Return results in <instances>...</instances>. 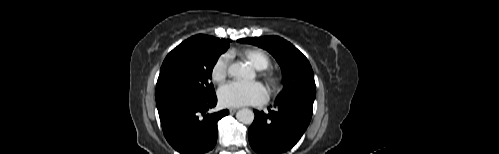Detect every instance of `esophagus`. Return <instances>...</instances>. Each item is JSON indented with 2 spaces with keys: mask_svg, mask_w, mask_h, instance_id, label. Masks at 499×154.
Returning <instances> with one entry per match:
<instances>
[{
  "mask_svg": "<svg viewBox=\"0 0 499 154\" xmlns=\"http://www.w3.org/2000/svg\"><path fill=\"white\" fill-rule=\"evenodd\" d=\"M237 111V108H229V112L231 114L235 113Z\"/></svg>",
  "mask_w": 499,
  "mask_h": 154,
  "instance_id": "obj_1",
  "label": "esophagus"
}]
</instances>
